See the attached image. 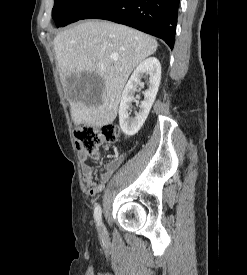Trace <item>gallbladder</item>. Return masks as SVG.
<instances>
[{
	"mask_svg": "<svg viewBox=\"0 0 247 275\" xmlns=\"http://www.w3.org/2000/svg\"><path fill=\"white\" fill-rule=\"evenodd\" d=\"M68 89L77 93L81 98L88 99L93 94L103 92L102 79L96 74L81 72L67 77Z\"/></svg>",
	"mask_w": 247,
	"mask_h": 275,
	"instance_id": "gallbladder-1",
	"label": "gallbladder"
}]
</instances>
